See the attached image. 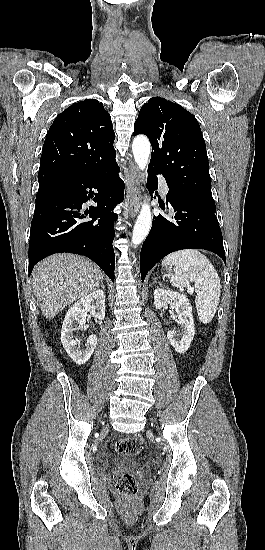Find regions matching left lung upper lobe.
Wrapping results in <instances>:
<instances>
[{"label":"left lung upper lobe","instance_id":"left-lung-upper-lobe-1","mask_svg":"<svg viewBox=\"0 0 265 550\" xmlns=\"http://www.w3.org/2000/svg\"><path fill=\"white\" fill-rule=\"evenodd\" d=\"M146 135L152 145L149 168L161 173L174 191L215 205L205 141L196 118L182 106L161 97L144 104L134 135Z\"/></svg>","mask_w":265,"mask_h":550}]
</instances>
